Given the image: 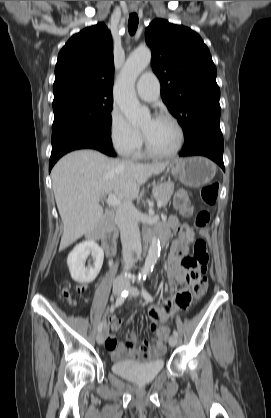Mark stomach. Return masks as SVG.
Listing matches in <instances>:
<instances>
[{"label":"stomach","mask_w":271,"mask_h":418,"mask_svg":"<svg viewBox=\"0 0 271 418\" xmlns=\"http://www.w3.org/2000/svg\"><path fill=\"white\" fill-rule=\"evenodd\" d=\"M169 171L182 184L189 187H200L214 178L216 166L207 158L195 156L172 161Z\"/></svg>","instance_id":"0dacf381"}]
</instances>
